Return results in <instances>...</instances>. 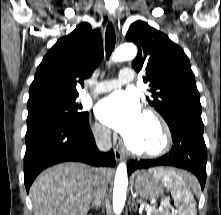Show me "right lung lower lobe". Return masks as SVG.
Instances as JSON below:
<instances>
[{"mask_svg": "<svg viewBox=\"0 0 221 215\" xmlns=\"http://www.w3.org/2000/svg\"><path fill=\"white\" fill-rule=\"evenodd\" d=\"M25 141L24 182L27 192L42 170L57 163L78 161L93 166L115 165L113 150L103 153L97 149L88 117L44 120L27 127Z\"/></svg>", "mask_w": 221, "mask_h": 215, "instance_id": "right-lung-lower-lobe-1", "label": "right lung lower lobe"}]
</instances>
